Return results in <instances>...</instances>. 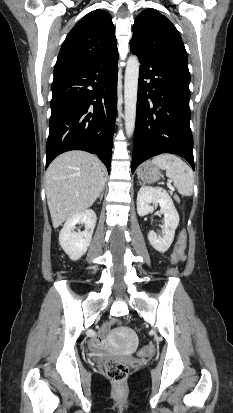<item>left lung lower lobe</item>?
<instances>
[{"label":"left lung lower lobe","instance_id":"obj_1","mask_svg":"<svg viewBox=\"0 0 233 413\" xmlns=\"http://www.w3.org/2000/svg\"><path fill=\"white\" fill-rule=\"evenodd\" d=\"M141 63L132 173L161 153L186 159L194 170L190 129V76L176 67L131 49Z\"/></svg>","mask_w":233,"mask_h":413}]
</instances>
